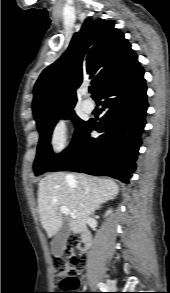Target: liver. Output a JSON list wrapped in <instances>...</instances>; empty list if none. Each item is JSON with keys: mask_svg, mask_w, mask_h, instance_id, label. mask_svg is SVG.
Segmentation results:
<instances>
[{"mask_svg": "<svg viewBox=\"0 0 170 293\" xmlns=\"http://www.w3.org/2000/svg\"><path fill=\"white\" fill-rule=\"evenodd\" d=\"M118 193L119 186L111 179L63 172L48 174L38 184L41 224L48 237L54 236L64 223L60 207L65 206L76 215L69 222L70 230L80 233L89 216Z\"/></svg>", "mask_w": 170, "mask_h": 293, "instance_id": "1", "label": "liver"}]
</instances>
